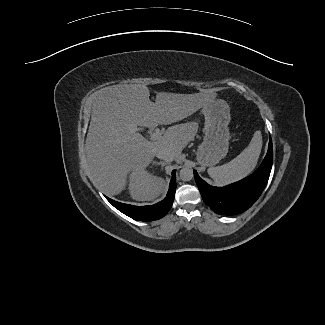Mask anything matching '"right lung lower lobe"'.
Returning a JSON list of instances; mask_svg holds the SVG:
<instances>
[{
    "label": "right lung lower lobe",
    "instance_id": "98d812e1",
    "mask_svg": "<svg viewBox=\"0 0 325 325\" xmlns=\"http://www.w3.org/2000/svg\"><path fill=\"white\" fill-rule=\"evenodd\" d=\"M176 191L175 170L172 172V178L166 197L154 204L148 206H134L114 201L108 197L106 199L123 214L140 221H154L164 217L172 207Z\"/></svg>",
    "mask_w": 325,
    "mask_h": 325
}]
</instances>
